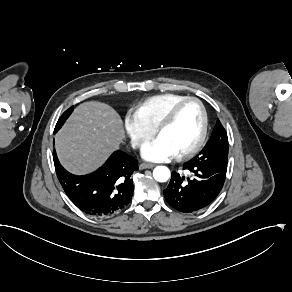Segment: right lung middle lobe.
Segmentation results:
<instances>
[{
  "mask_svg": "<svg viewBox=\"0 0 292 292\" xmlns=\"http://www.w3.org/2000/svg\"><path fill=\"white\" fill-rule=\"evenodd\" d=\"M74 107H70L68 110H66L62 116L59 118L57 124H56V127H55V131L54 133H56L61 127L62 125L64 124V122L66 121V119L70 116V114L72 113Z\"/></svg>",
  "mask_w": 292,
  "mask_h": 292,
  "instance_id": "right-lung-middle-lobe-1",
  "label": "right lung middle lobe"
}]
</instances>
